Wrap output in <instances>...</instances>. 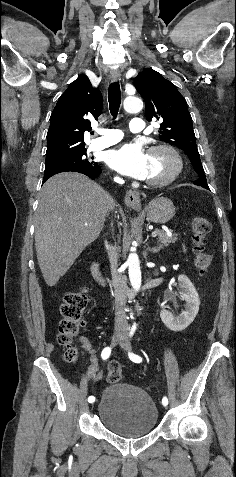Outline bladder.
I'll return each mask as SVG.
<instances>
[{
	"label": "bladder",
	"mask_w": 236,
	"mask_h": 477,
	"mask_svg": "<svg viewBox=\"0 0 236 477\" xmlns=\"http://www.w3.org/2000/svg\"><path fill=\"white\" fill-rule=\"evenodd\" d=\"M96 408L101 423L124 438L145 436L158 424L155 403L145 390L134 385L118 382L106 386Z\"/></svg>",
	"instance_id": "bladder-1"
}]
</instances>
